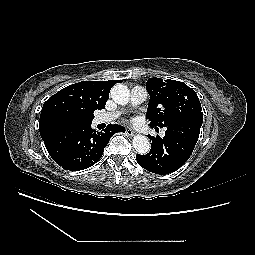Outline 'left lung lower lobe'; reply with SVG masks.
Returning <instances> with one entry per match:
<instances>
[{
  "instance_id": "1",
  "label": "left lung lower lobe",
  "mask_w": 255,
  "mask_h": 255,
  "mask_svg": "<svg viewBox=\"0 0 255 255\" xmlns=\"http://www.w3.org/2000/svg\"><path fill=\"white\" fill-rule=\"evenodd\" d=\"M203 116L166 126L165 136L148 135L151 150L147 155H136L144 169L156 174L178 170L191 156L199 138ZM151 127H154L150 124Z\"/></svg>"
}]
</instances>
